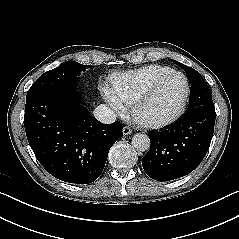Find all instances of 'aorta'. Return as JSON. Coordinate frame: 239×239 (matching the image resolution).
Returning <instances> with one entry per match:
<instances>
[{"mask_svg":"<svg viewBox=\"0 0 239 239\" xmlns=\"http://www.w3.org/2000/svg\"><path fill=\"white\" fill-rule=\"evenodd\" d=\"M132 146L138 151L144 152L150 148L149 136L142 133H137L132 137Z\"/></svg>","mask_w":239,"mask_h":239,"instance_id":"1","label":"aorta"}]
</instances>
